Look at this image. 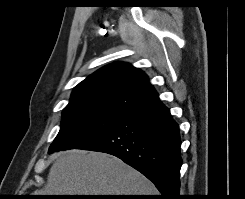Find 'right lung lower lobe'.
<instances>
[{
    "label": "right lung lower lobe",
    "mask_w": 245,
    "mask_h": 199,
    "mask_svg": "<svg viewBox=\"0 0 245 199\" xmlns=\"http://www.w3.org/2000/svg\"><path fill=\"white\" fill-rule=\"evenodd\" d=\"M179 126L163 103L141 109L78 149L114 155L149 180L160 199H180Z\"/></svg>",
    "instance_id": "1"
}]
</instances>
